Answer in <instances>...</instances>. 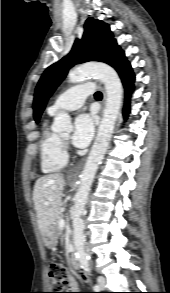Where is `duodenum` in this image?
Here are the masks:
<instances>
[{"label": "duodenum", "mask_w": 170, "mask_h": 293, "mask_svg": "<svg viewBox=\"0 0 170 293\" xmlns=\"http://www.w3.org/2000/svg\"><path fill=\"white\" fill-rule=\"evenodd\" d=\"M71 263L75 269H80L79 262L74 255H72V257H71Z\"/></svg>", "instance_id": "1"}]
</instances>
